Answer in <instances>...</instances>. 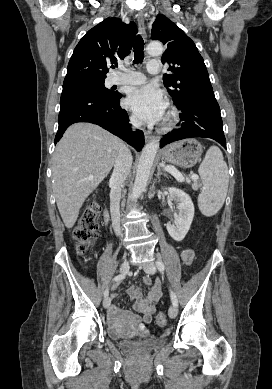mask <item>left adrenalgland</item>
<instances>
[{
    "instance_id": "left-adrenal-gland-1",
    "label": "left adrenal gland",
    "mask_w": 272,
    "mask_h": 389,
    "mask_svg": "<svg viewBox=\"0 0 272 389\" xmlns=\"http://www.w3.org/2000/svg\"><path fill=\"white\" fill-rule=\"evenodd\" d=\"M157 169H158L157 174H156L157 178H159L160 175H163L165 177L167 176V174L161 170L160 166H158Z\"/></svg>"
}]
</instances>
